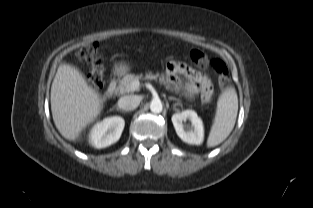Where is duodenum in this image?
<instances>
[{"mask_svg": "<svg viewBox=\"0 0 313 208\" xmlns=\"http://www.w3.org/2000/svg\"><path fill=\"white\" fill-rule=\"evenodd\" d=\"M116 91V84L114 81L110 82V84L108 85L105 94L107 97H111Z\"/></svg>", "mask_w": 313, "mask_h": 208, "instance_id": "1", "label": "duodenum"}]
</instances>
